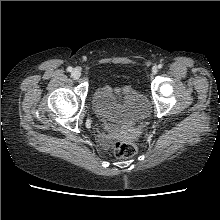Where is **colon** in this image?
Masks as SVG:
<instances>
[{
	"mask_svg": "<svg viewBox=\"0 0 220 220\" xmlns=\"http://www.w3.org/2000/svg\"><path fill=\"white\" fill-rule=\"evenodd\" d=\"M113 152L118 158H129L135 155L137 147L131 142L118 141L113 146Z\"/></svg>",
	"mask_w": 220,
	"mask_h": 220,
	"instance_id": "colon-1",
	"label": "colon"
}]
</instances>
